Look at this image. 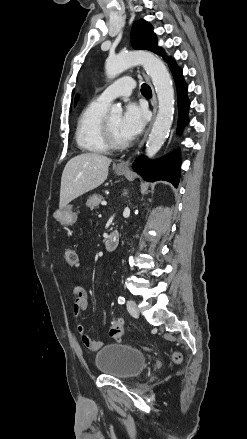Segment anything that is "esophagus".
<instances>
[{"label":"esophagus","mask_w":247,"mask_h":439,"mask_svg":"<svg viewBox=\"0 0 247 439\" xmlns=\"http://www.w3.org/2000/svg\"><path fill=\"white\" fill-rule=\"evenodd\" d=\"M143 73H144V72H143ZM144 76H145L146 80L149 82V84L151 85V82H150L149 77H148L145 73H144ZM151 88H152V101H151V103H152V106H153V119H154V118H155V115H156V112H157V100H156V95H155V92H154V89H153L152 85H151ZM151 125H152V122H151V124L149 125L147 131L145 132V135H144L142 141L140 142L138 148H137L136 151L134 152V154L138 153L139 150H140V148L143 146V144H144V142H145V140H146V137H147V135H148V133H149V130H150V128H151ZM130 160H131V157H129V158L126 159V160H121V161H119V162L117 163V168H118V169L127 170V169L129 168V165H130Z\"/></svg>","instance_id":"1"}]
</instances>
